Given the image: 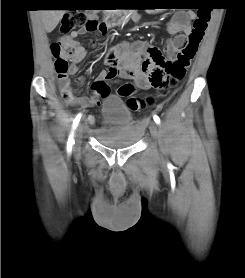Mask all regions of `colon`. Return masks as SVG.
Masks as SVG:
<instances>
[{"mask_svg": "<svg viewBox=\"0 0 245 278\" xmlns=\"http://www.w3.org/2000/svg\"><path fill=\"white\" fill-rule=\"evenodd\" d=\"M196 15L193 19L192 32L188 37V42L184 46L182 53L172 61H166L164 57H158L155 67L150 73V80L158 85L163 91V98H166L168 91L176 83L184 78L196 55L198 45L201 42L210 20L208 7H197ZM100 22L95 18H86L83 13L70 12L64 15L60 23V32L63 34L73 33L86 29L96 30ZM51 52L55 58L54 68L59 78L64 79L67 74L68 62L81 55V49L55 40L51 43ZM118 95L126 99V103L132 111H139L144 108L146 100L134 94L131 83H124L118 88ZM67 100L71 99L68 92H64ZM152 101L151 98L148 99ZM91 102L82 101L81 105L88 106Z\"/></svg>", "mask_w": 245, "mask_h": 278, "instance_id": "colon-1", "label": "colon"}]
</instances>
